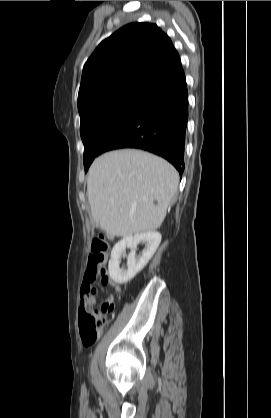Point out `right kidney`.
I'll return each instance as SVG.
<instances>
[{
	"label": "right kidney",
	"instance_id": "right-kidney-1",
	"mask_svg": "<svg viewBox=\"0 0 271 418\" xmlns=\"http://www.w3.org/2000/svg\"><path fill=\"white\" fill-rule=\"evenodd\" d=\"M160 242L161 234L156 231H151L124 237L116 243L112 249L108 264L111 279L118 284H124L134 278L152 258ZM139 243H145V249L142 255L137 257L136 249ZM126 248L131 249L127 258V268H120L119 259L125 254Z\"/></svg>",
	"mask_w": 271,
	"mask_h": 418
}]
</instances>
